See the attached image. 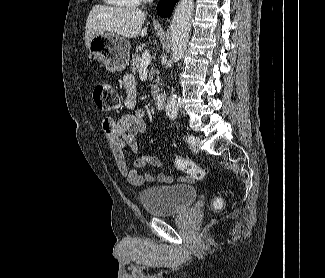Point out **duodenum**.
I'll use <instances>...</instances> for the list:
<instances>
[{"instance_id":"duodenum-1","label":"duodenum","mask_w":325,"mask_h":278,"mask_svg":"<svg viewBox=\"0 0 325 278\" xmlns=\"http://www.w3.org/2000/svg\"><path fill=\"white\" fill-rule=\"evenodd\" d=\"M154 104L158 110H163L166 105V98L163 94H157L154 97Z\"/></svg>"}]
</instances>
